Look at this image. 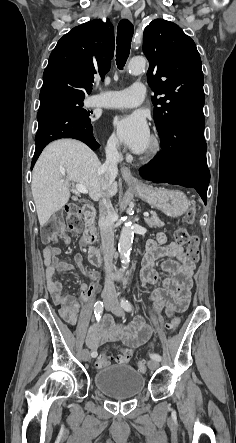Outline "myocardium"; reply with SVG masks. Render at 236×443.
<instances>
[{"label": "myocardium", "mask_w": 236, "mask_h": 443, "mask_svg": "<svg viewBox=\"0 0 236 443\" xmlns=\"http://www.w3.org/2000/svg\"><path fill=\"white\" fill-rule=\"evenodd\" d=\"M162 150L161 140L157 135H152L148 148H146L142 154V159L152 160L157 157Z\"/></svg>", "instance_id": "1"}]
</instances>
